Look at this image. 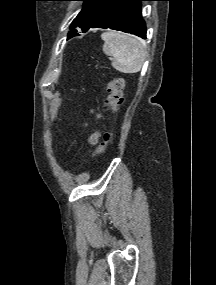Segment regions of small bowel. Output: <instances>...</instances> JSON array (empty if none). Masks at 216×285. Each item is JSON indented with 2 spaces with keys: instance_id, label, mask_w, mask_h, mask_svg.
I'll use <instances>...</instances> for the list:
<instances>
[{
  "instance_id": "small-bowel-1",
  "label": "small bowel",
  "mask_w": 216,
  "mask_h": 285,
  "mask_svg": "<svg viewBox=\"0 0 216 285\" xmlns=\"http://www.w3.org/2000/svg\"><path fill=\"white\" fill-rule=\"evenodd\" d=\"M97 138H98V136L95 134V135H93V136L90 138V141H91L92 143H94V142L97 141Z\"/></svg>"
}]
</instances>
